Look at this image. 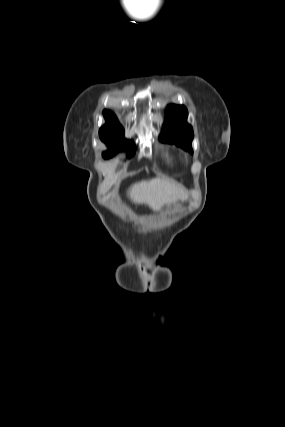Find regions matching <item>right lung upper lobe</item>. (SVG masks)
<instances>
[{
	"mask_svg": "<svg viewBox=\"0 0 285 427\" xmlns=\"http://www.w3.org/2000/svg\"><path fill=\"white\" fill-rule=\"evenodd\" d=\"M103 114L107 123L100 129V133L117 132L123 130L122 126L119 124L112 112L105 110Z\"/></svg>",
	"mask_w": 285,
	"mask_h": 427,
	"instance_id": "obj_1",
	"label": "right lung upper lobe"
}]
</instances>
